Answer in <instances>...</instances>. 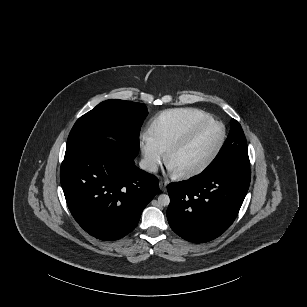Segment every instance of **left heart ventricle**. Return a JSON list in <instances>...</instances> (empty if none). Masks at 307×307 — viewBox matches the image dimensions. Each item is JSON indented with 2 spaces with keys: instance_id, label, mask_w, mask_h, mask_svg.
I'll use <instances>...</instances> for the list:
<instances>
[{
  "instance_id": "left-heart-ventricle-1",
  "label": "left heart ventricle",
  "mask_w": 307,
  "mask_h": 307,
  "mask_svg": "<svg viewBox=\"0 0 307 307\" xmlns=\"http://www.w3.org/2000/svg\"><path fill=\"white\" fill-rule=\"evenodd\" d=\"M224 136V126L215 123L205 130L188 148L173 157L170 170L180 173L205 161L217 148Z\"/></svg>"
}]
</instances>
